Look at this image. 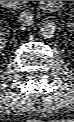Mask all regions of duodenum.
<instances>
[{"instance_id": "1", "label": "duodenum", "mask_w": 74, "mask_h": 122, "mask_svg": "<svg viewBox=\"0 0 74 122\" xmlns=\"http://www.w3.org/2000/svg\"><path fill=\"white\" fill-rule=\"evenodd\" d=\"M3 4L13 7L16 6L17 1H3ZM41 6L45 12H54L59 8V1H41Z\"/></svg>"}]
</instances>
